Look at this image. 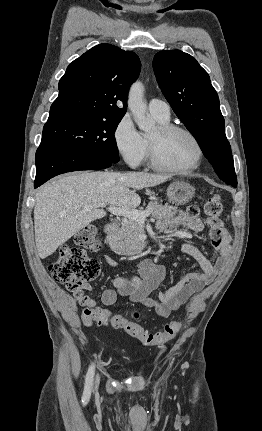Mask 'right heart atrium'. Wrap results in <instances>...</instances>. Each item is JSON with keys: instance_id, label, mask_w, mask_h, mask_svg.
Instances as JSON below:
<instances>
[{"instance_id": "obj_1", "label": "right heart atrium", "mask_w": 262, "mask_h": 431, "mask_svg": "<svg viewBox=\"0 0 262 431\" xmlns=\"http://www.w3.org/2000/svg\"><path fill=\"white\" fill-rule=\"evenodd\" d=\"M113 139L119 154L131 165L141 163L147 154V144L135 127L129 114L117 122Z\"/></svg>"}]
</instances>
